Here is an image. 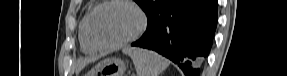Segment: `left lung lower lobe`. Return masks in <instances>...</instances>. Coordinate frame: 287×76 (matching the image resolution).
I'll list each match as a JSON object with an SVG mask.
<instances>
[{"instance_id":"0a47b994","label":"left lung lower lobe","mask_w":287,"mask_h":76,"mask_svg":"<svg viewBox=\"0 0 287 76\" xmlns=\"http://www.w3.org/2000/svg\"><path fill=\"white\" fill-rule=\"evenodd\" d=\"M217 0H170L148 16L143 36L132 43L178 64L186 76H199L217 26Z\"/></svg>"}]
</instances>
